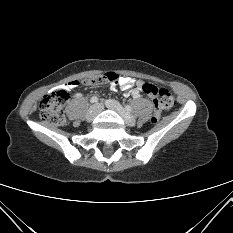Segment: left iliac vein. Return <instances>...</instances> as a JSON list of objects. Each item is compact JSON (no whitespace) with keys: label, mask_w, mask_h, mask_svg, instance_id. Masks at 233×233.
<instances>
[{"label":"left iliac vein","mask_w":233,"mask_h":233,"mask_svg":"<svg viewBox=\"0 0 233 233\" xmlns=\"http://www.w3.org/2000/svg\"><path fill=\"white\" fill-rule=\"evenodd\" d=\"M105 104L108 108L116 111L122 117L126 125L134 126L136 124L134 116L128 113L117 101L109 99L106 100Z\"/></svg>","instance_id":"1"}]
</instances>
